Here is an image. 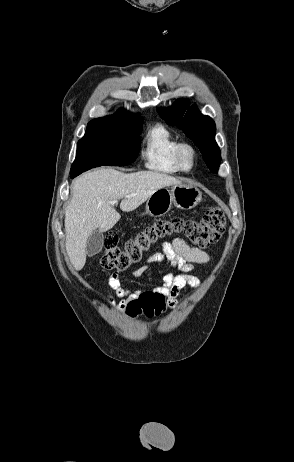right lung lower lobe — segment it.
I'll return each instance as SVG.
<instances>
[{
  "mask_svg": "<svg viewBox=\"0 0 294 462\" xmlns=\"http://www.w3.org/2000/svg\"><path fill=\"white\" fill-rule=\"evenodd\" d=\"M103 160H104V162H100V163L97 164V165H99V166H102V165H111V164L113 163V162H111L110 159H107V158H103ZM76 176H77V175H72V176H70V177H71V178H74V177H76Z\"/></svg>",
  "mask_w": 294,
  "mask_h": 462,
  "instance_id": "obj_1",
  "label": "right lung lower lobe"
}]
</instances>
